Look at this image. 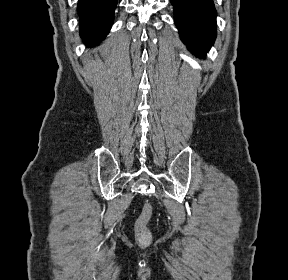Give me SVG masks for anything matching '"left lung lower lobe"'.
Returning a JSON list of instances; mask_svg holds the SVG:
<instances>
[{"label":"left lung lower lobe","instance_id":"0a47b994","mask_svg":"<svg viewBox=\"0 0 288 280\" xmlns=\"http://www.w3.org/2000/svg\"><path fill=\"white\" fill-rule=\"evenodd\" d=\"M181 40L204 58L216 38V10L213 0H170Z\"/></svg>","mask_w":288,"mask_h":280}]
</instances>
